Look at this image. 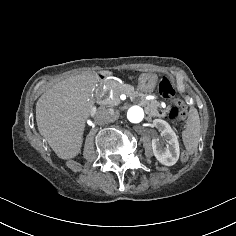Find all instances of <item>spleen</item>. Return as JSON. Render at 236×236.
I'll use <instances>...</instances> for the list:
<instances>
[{"label":"spleen","instance_id":"obj_1","mask_svg":"<svg viewBox=\"0 0 236 236\" xmlns=\"http://www.w3.org/2000/svg\"><path fill=\"white\" fill-rule=\"evenodd\" d=\"M186 124L187 127L182 132V139L186 150L193 154L198 147L200 137V119L197 109L190 108Z\"/></svg>","mask_w":236,"mask_h":236}]
</instances>
